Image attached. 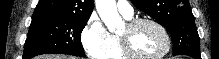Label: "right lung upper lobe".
Listing matches in <instances>:
<instances>
[{"label": "right lung upper lobe", "instance_id": "1", "mask_svg": "<svg viewBox=\"0 0 219 59\" xmlns=\"http://www.w3.org/2000/svg\"><path fill=\"white\" fill-rule=\"evenodd\" d=\"M94 0H39L33 15L90 17Z\"/></svg>", "mask_w": 219, "mask_h": 59}]
</instances>
